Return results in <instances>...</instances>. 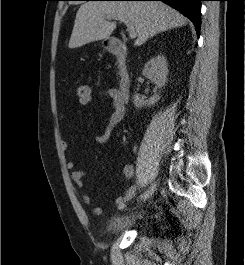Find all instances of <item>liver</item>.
Wrapping results in <instances>:
<instances>
[{
  "label": "liver",
  "instance_id": "6515ba94",
  "mask_svg": "<svg viewBox=\"0 0 245 265\" xmlns=\"http://www.w3.org/2000/svg\"><path fill=\"white\" fill-rule=\"evenodd\" d=\"M113 15L124 16L133 23L137 33L135 46L158 33L187 24L186 17L162 2L88 1L76 13L69 48L108 39L116 23L106 19Z\"/></svg>",
  "mask_w": 245,
  "mask_h": 265
}]
</instances>
